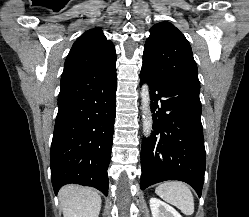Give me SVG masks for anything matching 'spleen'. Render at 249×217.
I'll return each instance as SVG.
<instances>
[{
  "label": "spleen",
  "instance_id": "spleen-1",
  "mask_svg": "<svg viewBox=\"0 0 249 217\" xmlns=\"http://www.w3.org/2000/svg\"><path fill=\"white\" fill-rule=\"evenodd\" d=\"M157 195L175 205L187 216L194 213V197L190 188L180 181H168L155 189Z\"/></svg>",
  "mask_w": 249,
  "mask_h": 217
}]
</instances>
